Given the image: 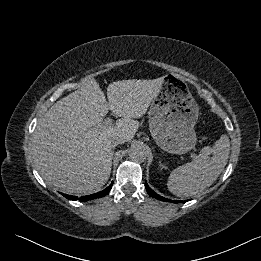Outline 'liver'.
Wrapping results in <instances>:
<instances>
[{
    "label": "liver",
    "instance_id": "6515ba94",
    "mask_svg": "<svg viewBox=\"0 0 261 261\" xmlns=\"http://www.w3.org/2000/svg\"><path fill=\"white\" fill-rule=\"evenodd\" d=\"M163 79L121 80L107 87L106 98L97 81L87 76L80 89L57 101L40 119L32 138V153L42 178L66 193L97 192L108 181L111 140L130 142ZM108 110L121 119L97 127Z\"/></svg>",
    "mask_w": 261,
    "mask_h": 261
}]
</instances>
